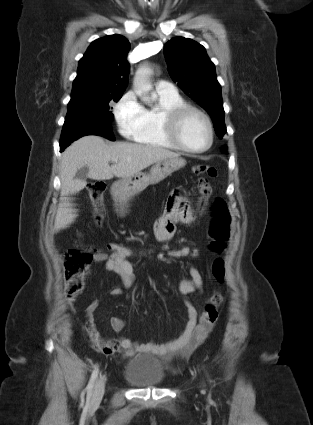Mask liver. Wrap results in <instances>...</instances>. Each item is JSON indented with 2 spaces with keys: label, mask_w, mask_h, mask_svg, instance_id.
<instances>
[{
  "label": "liver",
  "mask_w": 313,
  "mask_h": 425,
  "mask_svg": "<svg viewBox=\"0 0 313 425\" xmlns=\"http://www.w3.org/2000/svg\"><path fill=\"white\" fill-rule=\"evenodd\" d=\"M176 157L179 154L162 147L128 142L107 144L95 135L84 136L73 142L61 158V192L54 222L55 232L69 227L77 217L69 196L78 193L87 184L74 179L80 168H89L90 179L110 180L114 176L131 177L154 163ZM112 159L118 162L110 166Z\"/></svg>",
  "instance_id": "1"
}]
</instances>
